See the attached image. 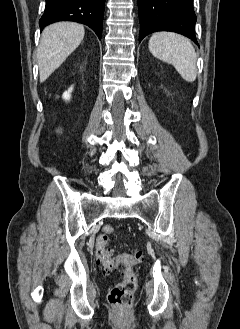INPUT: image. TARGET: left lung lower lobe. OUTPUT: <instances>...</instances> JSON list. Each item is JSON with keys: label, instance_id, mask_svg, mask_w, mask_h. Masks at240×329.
<instances>
[{"label": "left lung lower lobe", "instance_id": "1", "mask_svg": "<svg viewBox=\"0 0 240 329\" xmlns=\"http://www.w3.org/2000/svg\"><path fill=\"white\" fill-rule=\"evenodd\" d=\"M139 42L156 31H172L197 43L193 0H138Z\"/></svg>", "mask_w": 240, "mask_h": 329}]
</instances>
